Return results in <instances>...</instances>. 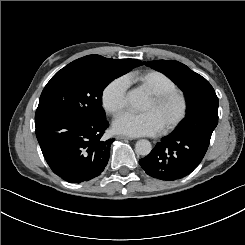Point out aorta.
Returning a JSON list of instances; mask_svg holds the SVG:
<instances>
[{
	"label": "aorta",
	"instance_id": "762f6f07",
	"mask_svg": "<svg viewBox=\"0 0 245 245\" xmlns=\"http://www.w3.org/2000/svg\"><path fill=\"white\" fill-rule=\"evenodd\" d=\"M144 96L138 91H132L127 95L128 103L134 107L139 108L144 103ZM152 150V145L148 140L142 139L136 142L135 151L141 156H147Z\"/></svg>",
	"mask_w": 245,
	"mask_h": 245
}]
</instances>
